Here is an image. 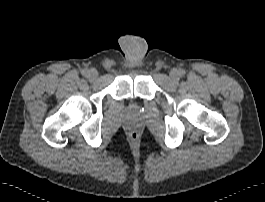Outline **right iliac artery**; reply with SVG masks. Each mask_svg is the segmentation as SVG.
<instances>
[{"label": "right iliac artery", "mask_w": 265, "mask_h": 202, "mask_svg": "<svg viewBox=\"0 0 265 202\" xmlns=\"http://www.w3.org/2000/svg\"><path fill=\"white\" fill-rule=\"evenodd\" d=\"M82 74H83L85 77H88V75H89V70H87V69L82 70Z\"/></svg>", "instance_id": "right-iliac-artery-1"}]
</instances>
